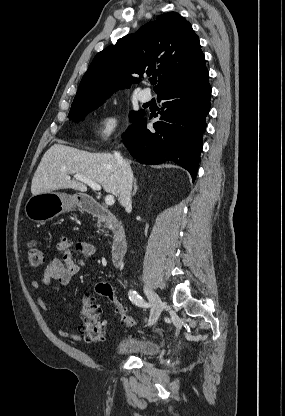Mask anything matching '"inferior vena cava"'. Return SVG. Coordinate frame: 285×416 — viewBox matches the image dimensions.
Returning <instances> with one entry per match:
<instances>
[{"instance_id": "inferior-vena-cava-1", "label": "inferior vena cava", "mask_w": 285, "mask_h": 416, "mask_svg": "<svg viewBox=\"0 0 285 416\" xmlns=\"http://www.w3.org/2000/svg\"><path fill=\"white\" fill-rule=\"evenodd\" d=\"M114 158L115 160H117L119 168L121 170L119 202L121 206H128V204H131V190L133 182L132 170L128 162H126V160H123L119 152H115Z\"/></svg>"}]
</instances>
